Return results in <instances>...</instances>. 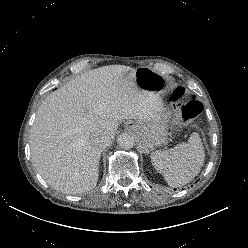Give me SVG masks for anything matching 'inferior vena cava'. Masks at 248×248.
<instances>
[{
	"instance_id": "obj_1",
	"label": "inferior vena cava",
	"mask_w": 248,
	"mask_h": 248,
	"mask_svg": "<svg viewBox=\"0 0 248 248\" xmlns=\"http://www.w3.org/2000/svg\"><path fill=\"white\" fill-rule=\"evenodd\" d=\"M111 141L110 133H102L94 139V143L102 148H105Z\"/></svg>"
}]
</instances>
